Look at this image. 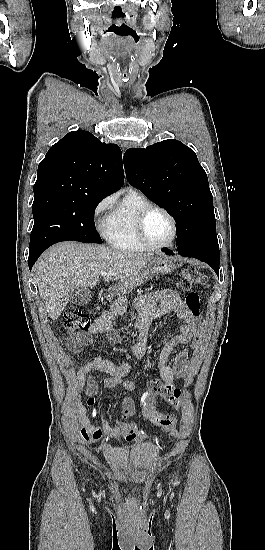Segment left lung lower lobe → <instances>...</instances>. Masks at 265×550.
I'll return each instance as SVG.
<instances>
[{"mask_svg":"<svg viewBox=\"0 0 265 550\" xmlns=\"http://www.w3.org/2000/svg\"><path fill=\"white\" fill-rule=\"evenodd\" d=\"M167 255H173L174 253L167 248L163 249ZM182 256L194 257L200 261H204L209 264L214 271L219 275V256L211 251L192 252V253H179Z\"/></svg>","mask_w":265,"mask_h":550,"instance_id":"0a47b994","label":"left lung lower lobe"}]
</instances>
